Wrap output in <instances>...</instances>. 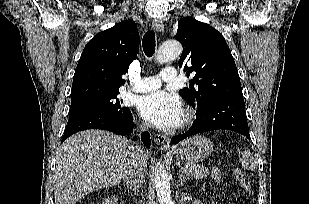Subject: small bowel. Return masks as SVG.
I'll use <instances>...</instances> for the list:
<instances>
[{"mask_svg":"<svg viewBox=\"0 0 309 204\" xmlns=\"http://www.w3.org/2000/svg\"><path fill=\"white\" fill-rule=\"evenodd\" d=\"M211 175H212V178L214 179V181L220 182V180H221V173H220V170L217 167H214L212 169Z\"/></svg>","mask_w":309,"mask_h":204,"instance_id":"obj_1","label":"small bowel"}]
</instances>
